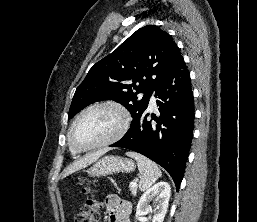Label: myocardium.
I'll return each instance as SVG.
<instances>
[{
    "label": "myocardium",
    "mask_w": 257,
    "mask_h": 222,
    "mask_svg": "<svg viewBox=\"0 0 257 222\" xmlns=\"http://www.w3.org/2000/svg\"><path fill=\"white\" fill-rule=\"evenodd\" d=\"M99 108H110L119 114L120 125H119L118 130L111 137H109L108 139H106L98 144H95V145H92L89 147H84V148L77 146L73 140V131H74L76 124L85 114H87L88 112H90L92 110L99 109ZM130 121H131L130 112L123 103L116 101V100H112V99L96 102V103L88 106L84 110H82L76 116L74 121L72 122V124L69 128V132H68L69 146L75 152L83 153V152H88L91 150H95L98 148L112 145V144L116 143L117 141H119L126 134V132L128 131L129 125H130Z\"/></svg>",
    "instance_id": "f54148a6"
}]
</instances>
